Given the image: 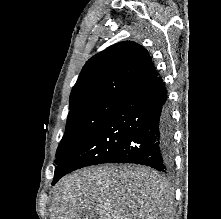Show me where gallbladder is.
I'll return each instance as SVG.
<instances>
[{
  "instance_id": "bac80fb5",
  "label": "gallbladder",
  "mask_w": 221,
  "mask_h": 219,
  "mask_svg": "<svg viewBox=\"0 0 221 219\" xmlns=\"http://www.w3.org/2000/svg\"><path fill=\"white\" fill-rule=\"evenodd\" d=\"M98 215L94 210L85 211L80 219H97Z\"/></svg>"
}]
</instances>
